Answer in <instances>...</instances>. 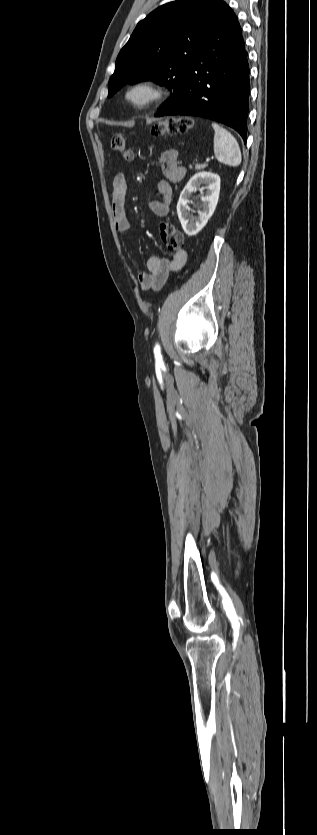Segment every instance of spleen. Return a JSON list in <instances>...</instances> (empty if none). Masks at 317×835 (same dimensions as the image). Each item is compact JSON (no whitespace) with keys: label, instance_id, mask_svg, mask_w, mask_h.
I'll return each mask as SVG.
<instances>
[{"label":"spleen","instance_id":"3e777b00","mask_svg":"<svg viewBox=\"0 0 317 835\" xmlns=\"http://www.w3.org/2000/svg\"><path fill=\"white\" fill-rule=\"evenodd\" d=\"M214 134V154L216 159L228 166H238L241 163V151L236 139L230 132L217 123H212Z\"/></svg>","mask_w":317,"mask_h":835}]
</instances>
